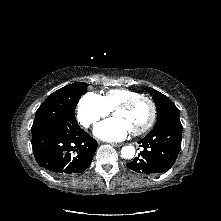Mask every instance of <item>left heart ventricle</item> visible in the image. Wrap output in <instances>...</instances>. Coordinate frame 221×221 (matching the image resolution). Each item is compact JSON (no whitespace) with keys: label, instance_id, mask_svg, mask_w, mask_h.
<instances>
[{"label":"left heart ventricle","instance_id":"left-heart-ventricle-1","mask_svg":"<svg viewBox=\"0 0 221 221\" xmlns=\"http://www.w3.org/2000/svg\"><path fill=\"white\" fill-rule=\"evenodd\" d=\"M151 107L148 102L141 101L129 110H118L114 117L121 119L129 127L130 131L144 126L150 118Z\"/></svg>","mask_w":221,"mask_h":221}]
</instances>
